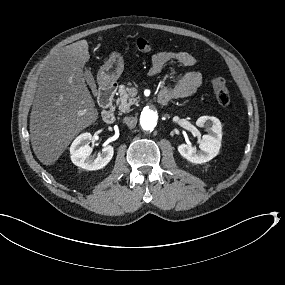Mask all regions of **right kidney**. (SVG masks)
Masks as SVG:
<instances>
[{
	"mask_svg": "<svg viewBox=\"0 0 285 285\" xmlns=\"http://www.w3.org/2000/svg\"><path fill=\"white\" fill-rule=\"evenodd\" d=\"M92 139L90 133H82L72 142L70 147L71 161L86 170H98L106 166L113 157L114 149L108 145L96 158L91 155L92 148L89 141Z\"/></svg>",
	"mask_w": 285,
	"mask_h": 285,
	"instance_id": "obj_1",
	"label": "right kidney"
}]
</instances>
